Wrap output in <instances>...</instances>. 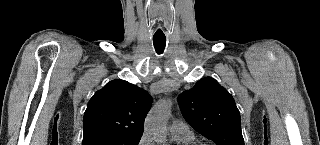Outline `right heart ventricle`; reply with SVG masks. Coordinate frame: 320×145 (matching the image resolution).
<instances>
[{"label": "right heart ventricle", "mask_w": 320, "mask_h": 145, "mask_svg": "<svg viewBox=\"0 0 320 145\" xmlns=\"http://www.w3.org/2000/svg\"><path fill=\"white\" fill-rule=\"evenodd\" d=\"M172 139L177 145H191L196 142L195 136L192 133L188 135H172Z\"/></svg>", "instance_id": "1"}]
</instances>
